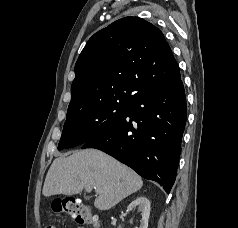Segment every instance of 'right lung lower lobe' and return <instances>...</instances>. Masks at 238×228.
Masks as SVG:
<instances>
[{"label": "right lung lower lobe", "instance_id": "obj_1", "mask_svg": "<svg viewBox=\"0 0 238 228\" xmlns=\"http://www.w3.org/2000/svg\"><path fill=\"white\" fill-rule=\"evenodd\" d=\"M181 78L132 98L124 116L82 148L99 149L169 193L174 184L186 123Z\"/></svg>", "mask_w": 238, "mask_h": 228}]
</instances>
